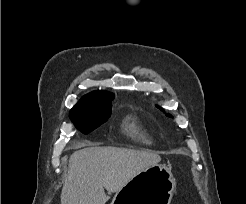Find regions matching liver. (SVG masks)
Masks as SVG:
<instances>
[{
    "label": "liver",
    "instance_id": "liver-1",
    "mask_svg": "<svg viewBox=\"0 0 246 204\" xmlns=\"http://www.w3.org/2000/svg\"><path fill=\"white\" fill-rule=\"evenodd\" d=\"M161 157L150 151L120 147H85L69 159L68 175L61 191V204H105L110 193L121 190Z\"/></svg>",
    "mask_w": 246,
    "mask_h": 204
}]
</instances>
